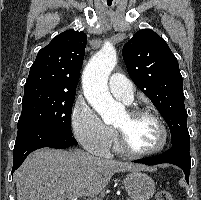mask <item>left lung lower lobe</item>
Listing matches in <instances>:
<instances>
[{"mask_svg":"<svg viewBox=\"0 0 201 200\" xmlns=\"http://www.w3.org/2000/svg\"><path fill=\"white\" fill-rule=\"evenodd\" d=\"M134 162L147 165H157L163 163L177 165L184 171L186 182L189 183L191 167L190 139L182 140L173 144L167 152L159 156L135 160Z\"/></svg>","mask_w":201,"mask_h":200,"instance_id":"1","label":"left lung lower lobe"}]
</instances>
